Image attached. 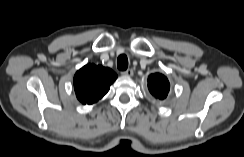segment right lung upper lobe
Masks as SVG:
<instances>
[{"instance_id": "1", "label": "right lung upper lobe", "mask_w": 244, "mask_h": 157, "mask_svg": "<svg viewBox=\"0 0 244 157\" xmlns=\"http://www.w3.org/2000/svg\"><path fill=\"white\" fill-rule=\"evenodd\" d=\"M117 75L109 68L88 64L74 76L76 96L83 104L91 105L101 99L116 80Z\"/></svg>"}]
</instances>
